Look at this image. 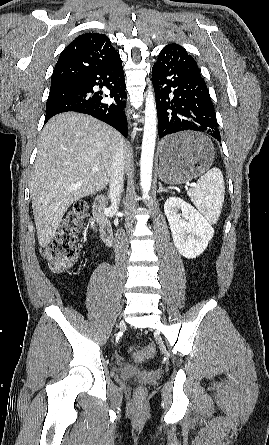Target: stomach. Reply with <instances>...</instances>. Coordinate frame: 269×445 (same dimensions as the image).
Masks as SVG:
<instances>
[{
    "instance_id": "1",
    "label": "stomach",
    "mask_w": 269,
    "mask_h": 445,
    "mask_svg": "<svg viewBox=\"0 0 269 445\" xmlns=\"http://www.w3.org/2000/svg\"><path fill=\"white\" fill-rule=\"evenodd\" d=\"M174 143L179 151L166 154L165 145ZM215 151L210 140L194 132L166 137L159 148V178L170 185L183 184L203 174L212 164Z\"/></svg>"
}]
</instances>
